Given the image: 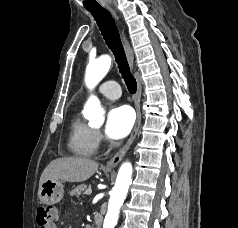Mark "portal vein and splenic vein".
I'll return each mask as SVG.
<instances>
[{
    "label": "portal vein and splenic vein",
    "instance_id": "portal-vein-and-splenic-vein-1",
    "mask_svg": "<svg viewBox=\"0 0 238 228\" xmlns=\"http://www.w3.org/2000/svg\"><path fill=\"white\" fill-rule=\"evenodd\" d=\"M92 193V190L91 189H87L86 191H85V194L86 195H90Z\"/></svg>",
    "mask_w": 238,
    "mask_h": 228
}]
</instances>
